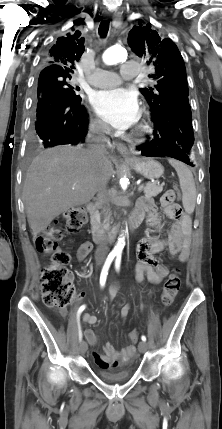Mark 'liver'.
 <instances>
[{"label": "liver", "instance_id": "6515ba94", "mask_svg": "<svg viewBox=\"0 0 222 429\" xmlns=\"http://www.w3.org/2000/svg\"><path fill=\"white\" fill-rule=\"evenodd\" d=\"M112 173L106 150L96 157L81 147L59 146L42 151L31 162L23 187L33 236L61 213L90 202Z\"/></svg>", "mask_w": 222, "mask_h": 429}]
</instances>
